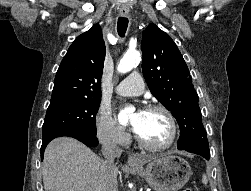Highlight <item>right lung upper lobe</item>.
Listing matches in <instances>:
<instances>
[{
	"label": "right lung upper lobe",
	"instance_id": "obj_1",
	"mask_svg": "<svg viewBox=\"0 0 251 191\" xmlns=\"http://www.w3.org/2000/svg\"><path fill=\"white\" fill-rule=\"evenodd\" d=\"M106 48L99 24L79 35L69 47L56 73L49 106L101 100Z\"/></svg>",
	"mask_w": 251,
	"mask_h": 191
}]
</instances>
